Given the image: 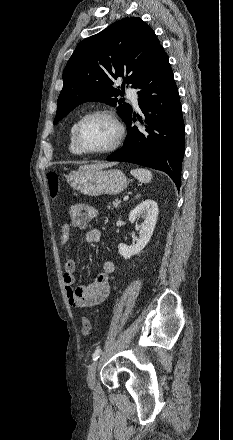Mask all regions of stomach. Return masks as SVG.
Wrapping results in <instances>:
<instances>
[{
  "label": "stomach",
  "mask_w": 233,
  "mask_h": 440,
  "mask_svg": "<svg viewBox=\"0 0 233 440\" xmlns=\"http://www.w3.org/2000/svg\"><path fill=\"white\" fill-rule=\"evenodd\" d=\"M69 185L88 196L116 195L128 185L125 174L118 169L80 168L67 176Z\"/></svg>",
  "instance_id": "obj_1"
}]
</instances>
